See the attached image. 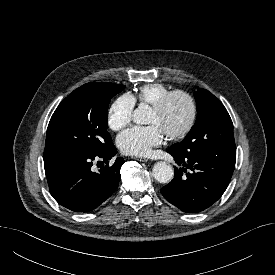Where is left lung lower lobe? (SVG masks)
<instances>
[{
	"instance_id": "left-lung-lower-lobe-1",
	"label": "left lung lower lobe",
	"mask_w": 275,
	"mask_h": 275,
	"mask_svg": "<svg viewBox=\"0 0 275 275\" xmlns=\"http://www.w3.org/2000/svg\"><path fill=\"white\" fill-rule=\"evenodd\" d=\"M175 162L189 168L174 167L173 180L161 188L164 198L186 213L201 212L213 205L225 192L234 171L236 156L207 151L182 156L168 149ZM183 172L186 175H183Z\"/></svg>"
}]
</instances>
